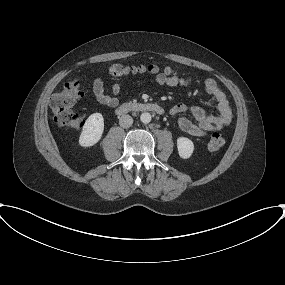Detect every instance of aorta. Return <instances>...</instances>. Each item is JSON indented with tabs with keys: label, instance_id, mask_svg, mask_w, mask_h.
I'll return each instance as SVG.
<instances>
[{
	"label": "aorta",
	"instance_id": "obj_1",
	"mask_svg": "<svg viewBox=\"0 0 285 285\" xmlns=\"http://www.w3.org/2000/svg\"><path fill=\"white\" fill-rule=\"evenodd\" d=\"M152 117L150 115V113L148 112H144L141 114L140 116V120L142 123L148 124L151 121Z\"/></svg>",
	"mask_w": 285,
	"mask_h": 285
}]
</instances>
